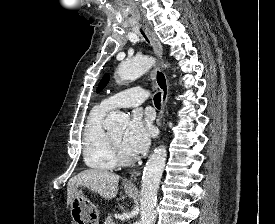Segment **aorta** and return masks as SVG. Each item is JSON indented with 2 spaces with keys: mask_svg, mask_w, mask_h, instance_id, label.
I'll return each instance as SVG.
<instances>
[{
  "mask_svg": "<svg viewBox=\"0 0 275 224\" xmlns=\"http://www.w3.org/2000/svg\"><path fill=\"white\" fill-rule=\"evenodd\" d=\"M156 60L151 56H137L122 61L117 68L119 82L135 80L148 71ZM128 124V117L119 111L111 112L104 122L107 130L124 129ZM167 159L165 146L158 147L149 157L143 170L140 191V221L138 224H153L155 206L160 180Z\"/></svg>",
  "mask_w": 275,
  "mask_h": 224,
  "instance_id": "obj_1",
  "label": "aorta"
}]
</instances>
